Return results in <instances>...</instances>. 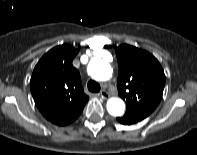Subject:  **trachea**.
Here are the masks:
<instances>
[{
    "label": "trachea",
    "instance_id": "1",
    "mask_svg": "<svg viewBox=\"0 0 197 155\" xmlns=\"http://www.w3.org/2000/svg\"><path fill=\"white\" fill-rule=\"evenodd\" d=\"M87 87L90 92L97 93L100 91V85L94 80H89Z\"/></svg>",
    "mask_w": 197,
    "mask_h": 155
}]
</instances>
